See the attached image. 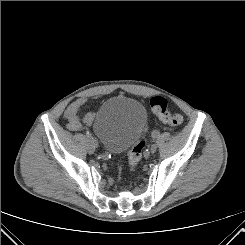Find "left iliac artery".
<instances>
[{
    "mask_svg": "<svg viewBox=\"0 0 245 245\" xmlns=\"http://www.w3.org/2000/svg\"><path fill=\"white\" fill-rule=\"evenodd\" d=\"M159 135H160V132H159V131H154V132L152 133V138H153V139H156Z\"/></svg>",
    "mask_w": 245,
    "mask_h": 245,
    "instance_id": "1",
    "label": "left iliac artery"
}]
</instances>
